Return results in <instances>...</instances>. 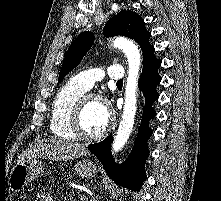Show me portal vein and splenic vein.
<instances>
[{"label": "portal vein and splenic vein", "instance_id": "1", "mask_svg": "<svg viewBox=\"0 0 221 201\" xmlns=\"http://www.w3.org/2000/svg\"><path fill=\"white\" fill-rule=\"evenodd\" d=\"M79 197H80V199H81L82 201H86V200H87L86 196H84V195H80Z\"/></svg>", "mask_w": 221, "mask_h": 201}]
</instances>
